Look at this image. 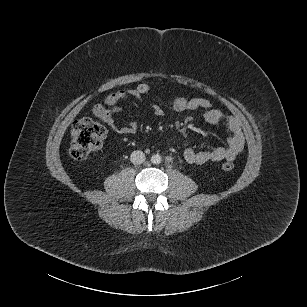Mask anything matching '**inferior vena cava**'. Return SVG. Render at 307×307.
Returning a JSON list of instances; mask_svg holds the SVG:
<instances>
[{"label": "inferior vena cava", "instance_id": "inferior-vena-cava-1", "mask_svg": "<svg viewBox=\"0 0 307 307\" xmlns=\"http://www.w3.org/2000/svg\"><path fill=\"white\" fill-rule=\"evenodd\" d=\"M133 164H142L145 161V154L142 151H133L130 156Z\"/></svg>", "mask_w": 307, "mask_h": 307}]
</instances>
